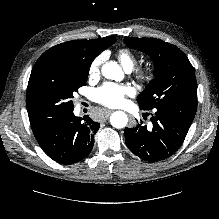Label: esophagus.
Masks as SVG:
<instances>
[{
    "mask_svg": "<svg viewBox=\"0 0 219 219\" xmlns=\"http://www.w3.org/2000/svg\"><path fill=\"white\" fill-rule=\"evenodd\" d=\"M112 112H113V110H111V109H107V110H106V114H107V116H109ZM107 116H106V117H107Z\"/></svg>",
    "mask_w": 219,
    "mask_h": 219,
    "instance_id": "1",
    "label": "esophagus"
}]
</instances>
